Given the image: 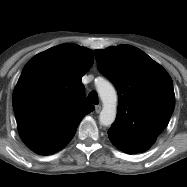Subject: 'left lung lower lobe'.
I'll use <instances>...</instances> for the list:
<instances>
[{"mask_svg":"<svg viewBox=\"0 0 187 187\" xmlns=\"http://www.w3.org/2000/svg\"><path fill=\"white\" fill-rule=\"evenodd\" d=\"M108 136L113 143L119 150L129 153V154H136L139 152H143L147 150L154 142L149 141V138L141 135L135 134H128L122 132H110L108 131ZM132 136L138 137L143 139L141 144L130 141Z\"/></svg>","mask_w":187,"mask_h":187,"instance_id":"1","label":"left lung lower lobe"}]
</instances>
